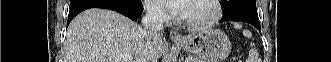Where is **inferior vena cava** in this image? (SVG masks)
Segmentation results:
<instances>
[{
    "instance_id": "obj_1",
    "label": "inferior vena cava",
    "mask_w": 331,
    "mask_h": 62,
    "mask_svg": "<svg viewBox=\"0 0 331 62\" xmlns=\"http://www.w3.org/2000/svg\"><path fill=\"white\" fill-rule=\"evenodd\" d=\"M165 20L166 14L161 7L156 5L146 6V14L141 20L143 45L149 46L161 38Z\"/></svg>"
}]
</instances>
